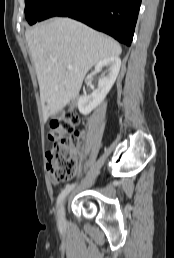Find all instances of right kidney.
I'll return each instance as SVG.
<instances>
[{
  "instance_id": "ca27d5eb",
  "label": "right kidney",
  "mask_w": 174,
  "mask_h": 258,
  "mask_svg": "<svg viewBox=\"0 0 174 258\" xmlns=\"http://www.w3.org/2000/svg\"><path fill=\"white\" fill-rule=\"evenodd\" d=\"M121 60L119 57L113 56L103 59L95 65V72H99L102 68L108 69V74L99 79L98 88L87 95L84 93L78 100V109L81 114L88 115L104 100L106 95L112 88L120 70ZM92 76L88 75L87 79L91 80Z\"/></svg>"
}]
</instances>
